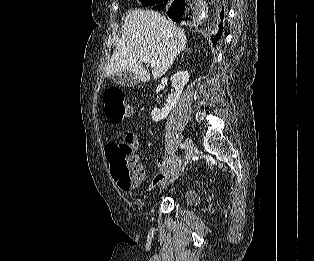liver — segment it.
Returning a JSON list of instances; mask_svg holds the SVG:
<instances>
[{"label": "liver", "mask_w": 314, "mask_h": 261, "mask_svg": "<svg viewBox=\"0 0 314 261\" xmlns=\"http://www.w3.org/2000/svg\"><path fill=\"white\" fill-rule=\"evenodd\" d=\"M187 43L179 27L156 11L135 9L126 14L124 30L105 69V76L130 71L140 81L150 80V72L142 66V58L154 59V79L162 77Z\"/></svg>", "instance_id": "liver-1"}]
</instances>
